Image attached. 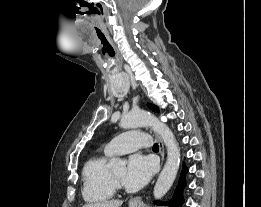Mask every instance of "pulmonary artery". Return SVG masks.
Wrapping results in <instances>:
<instances>
[{"label": "pulmonary artery", "instance_id": "1", "mask_svg": "<svg viewBox=\"0 0 261 207\" xmlns=\"http://www.w3.org/2000/svg\"><path fill=\"white\" fill-rule=\"evenodd\" d=\"M149 136L138 130H131L120 134L112 139L105 148V151L111 155H119L130 153L138 150L139 148L149 147Z\"/></svg>", "mask_w": 261, "mask_h": 207}]
</instances>
